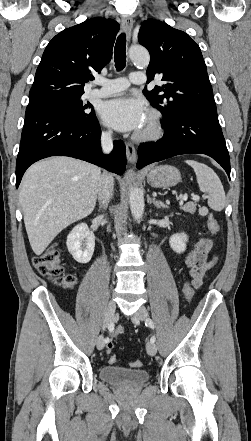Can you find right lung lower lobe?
<instances>
[{
  "instance_id": "1",
  "label": "right lung lower lobe",
  "mask_w": 251,
  "mask_h": 441,
  "mask_svg": "<svg viewBox=\"0 0 251 441\" xmlns=\"http://www.w3.org/2000/svg\"><path fill=\"white\" fill-rule=\"evenodd\" d=\"M100 136L96 115L87 121H77L46 108L28 105L16 161V188L31 164L56 155L78 158L123 174L126 164L124 143L114 141L113 151L104 156Z\"/></svg>"
}]
</instances>
